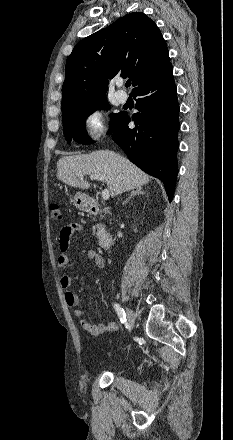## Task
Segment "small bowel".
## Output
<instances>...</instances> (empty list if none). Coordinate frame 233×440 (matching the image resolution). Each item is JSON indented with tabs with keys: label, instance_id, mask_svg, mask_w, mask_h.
Here are the masks:
<instances>
[{
	"label": "small bowel",
	"instance_id": "c3829d8e",
	"mask_svg": "<svg viewBox=\"0 0 233 440\" xmlns=\"http://www.w3.org/2000/svg\"><path fill=\"white\" fill-rule=\"evenodd\" d=\"M82 229V225L78 223L68 224L61 229L59 234L60 254L57 259L59 267L66 268L69 266V250L71 247L73 235L81 231ZM87 258L88 260L93 262L97 268L103 269L105 267L104 258L97 251H88ZM71 282V277L67 274L62 275L59 280L60 286L66 290L64 294L66 304L72 309L74 316L81 319L84 316L85 311L79 307L80 299L78 294L69 290ZM80 325L83 330H85L92 336H99L108 332H113L118 329V324L115 321L109 322L107 324H92L87 320L81 319Z\"/></svg>",
	"mask_w": 233,
	"mask_h": 440
}]
</instances>
